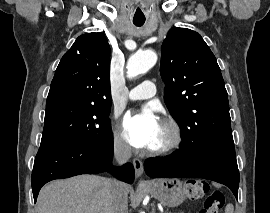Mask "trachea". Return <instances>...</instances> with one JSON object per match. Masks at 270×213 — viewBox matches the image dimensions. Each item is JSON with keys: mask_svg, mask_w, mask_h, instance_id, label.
Segmentation results:
<instances>
[{"mask_svg": "<svg viewBox=\"0 0 270 213\" xmlns=\"http://www.w3.org/2000/svg\"><path fill=\"white\" fill-rule=\"evenodd\" d=\"M133 23L140 27L145 23V19H133Z\"/></svg>", "mask_w": 270, "mask_h": 213, "instance_id": "trachea-1", "label": "trachea"}]
</instances>
